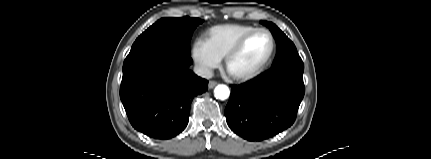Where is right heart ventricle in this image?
<instances>
[{
  "instance_id": "right-heart-ventricle-1",
  "label": "right heart ventricle",
  "mask_w": 431,
  "mask_h": 159,
  "mask_svg": "<svg viewBox=\"0 0 431 159\" xmlns=\"http://www.w3.org/2000/svg\"><path fill=\"white\" fill-rule=\"evenodd\" d=\"M254 29L256 27L246 24L216 25L205 32V40L220 58H225L239 39Z\"/></svg>"
}]
</instances>
